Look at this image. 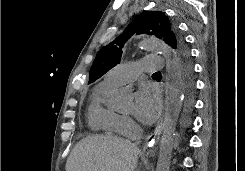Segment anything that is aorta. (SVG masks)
I'll return each instance as SVG.
<instances>
[{"label":"aorta","instance_id":"aorta-1","mask_svg":"<svg viewBox=\"0 0 245 171\" xmlns=\"http://www.w3.org/2000/svg\"><path fill=\"white\" fill-rule=\"evenodd\" d=\"M139 45L142 49L161 53L165 60L166 112L162 124V136L156 171H170L175 127L183 102V89L179 80L177 66H175L172 49L163 41L155 38L144 39ZM131 100V93L128 90L118 89L112 96L109 106L113 109L124 111L129 108Z\"/></svg>","mask_w":245,"mask_h":171}]
</instances>
